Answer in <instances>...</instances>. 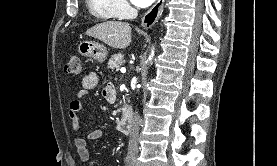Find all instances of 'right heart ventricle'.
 Segmentation results:
<instances>
[{"label":"right heart ventricle","instance_id":"e07e8e85","mask_svg":"<svg viewBox=\"0 0 277 166\" xmlns=\"http://www.w3.org/2000/svg\"><path fill=\"white\" fill-rule=\"evenodd\" d=\"M90 14L100 21H109L118 18L113 0H85Z\"/></svg>","mask_w":277,"mask_h":166}]
</instances>
